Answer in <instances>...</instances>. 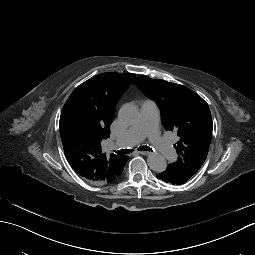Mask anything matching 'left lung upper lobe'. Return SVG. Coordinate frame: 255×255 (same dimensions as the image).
Wrapping results in <instances>:
<instances>
[{"label": "left lung upper lobe", "instance_id": "left-lung-upper-lobe-1", "mask_svg": "<svg viewBox=\"0 0 255 255\" xmlns=\"http://www.w3.org/2000/svg\"><path fill=\"white\" fill-rule=\"evenodd\" d=\"M133 84L157 103L166 130L177 132L179 141L174 147L179 157L168 166L190 179L204 163L210 147L212 117L208 104L183 85L148 76L137 77Z\"/></svg>", "mask_w": 255, "mask_h": 255}]
</instances>
